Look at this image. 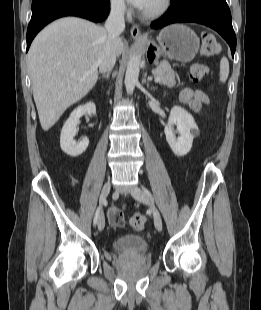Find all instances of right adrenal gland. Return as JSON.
<instances>
[{
  "label": "right adrenal gland",
  "mask_w": 261,
  "mask_h": 310,
  "mask_svg": "<svg viewBox=\"0 0 261 310\" xmlns=\"http://www.w3.org/2000/svg\"><path fill=\"white\" fill-rule=\"evenodd\" d=\"M102 77L105 78V79H108L109 78V73L104 74Z\"/></svg>",
  "instance_id": "2a0ac1e0"
}]
</instances>
